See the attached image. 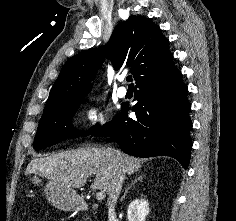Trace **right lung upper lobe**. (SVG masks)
I'll list each match as a JSON object with an SVG mask.
<instances>
[{
    "instance_id": "cb5924a9",
    "label": "right lung upper lobe",
    "mask_w": 236,
    "mask_h": 221,
    "mask_svg": "<svg viewBox=\"0 0 236 221\" xmlns=\"http://www.w3.org/2000/svg\"><path fill=\"white\" fill-rule=\"evenodd\" d=\"M168 42L152 21L143 16H130L118 24L106 47L86 50L65 63L50 91L44 112L86 96L104 57L111 60L115 69L124 63L131 66L136 82L148 76L172 57Z\"/></svg>"
}]
</instances>
